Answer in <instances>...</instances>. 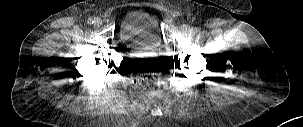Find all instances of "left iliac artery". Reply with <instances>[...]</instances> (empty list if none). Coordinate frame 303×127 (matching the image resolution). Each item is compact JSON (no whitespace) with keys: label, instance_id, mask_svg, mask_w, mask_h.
Returning a JSON list of instances; mask_svg holds the SVG:
<instances>
[{"label":"left iliac artery","instance_id":"left-iliac-artery-1","mask_svg":"<svg viewBox=\"0 0 303 127\" xmlns=\"http://www.w3.org/2000/svg\"><path fill=\"white\" fill-rule=\"evenodd\" d=\"M192 32L195 34L198 32V30L196 28L192 29Z\"/></svg>","mask_w":303,"mask_h":127}]
</instances>
